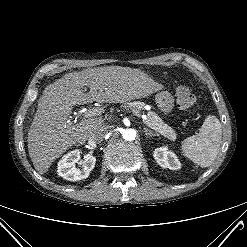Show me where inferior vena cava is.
Instances as JSON below:
<instances>
[{
  "label": "inferior vena cava",
  "instance_id": "obj_1",
  "mask_svg": "<svg viewBox=\"0 0 247 247\" xmlns=\"http://www.w3.org/2000/svg\"><path fill=\"white\" fill-rule=\"evenodd\" d=\"M106 133H107L106 128L100 127L90 134L89 140L95 143H100L101 141H103Z\"/></svg>",
  "mask_w": 247,
  "mask_h": 247
}]
</instances>
